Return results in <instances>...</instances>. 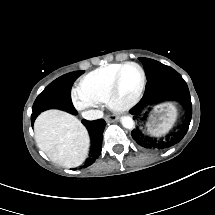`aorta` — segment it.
I'll use <instances>...</instances> for the list:
<instances>
[{
  "label": "aorta",
  "mask_w": 215,
  "mask_h": 215,
  "mask_svg": "<svg viewBox=\"0 0 215 215\" xmlns=\"http://www.w3.org/2000/svg\"><path fill=\"white\" fill-rule=\"evenodd\" d=\"M120 122L125 128H132L133 119L130 116H121Z\"/></svg>",
  "instance_id": "obj_1"
}]
</instances>
